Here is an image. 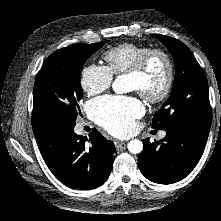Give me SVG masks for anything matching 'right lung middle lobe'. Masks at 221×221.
Instances as JSON below:
<instances>
[{"label":"right lung middle lobe","instance_id":"1","mask_svg":"<svg viewBox=\"0 0 221 221\" xmlns=\"http://www.w3.org/2000/svg\"><path fill=\"white\" fill-rule=\"evenodd\" d=\"M105 42L73 44L52 53L37 74L33 114L37 121L75 124L83 96L80 77L86 60ZM32 114V115H33Z\"/></svg>","mask_w":221,"mask_h":221}]
</instances>
